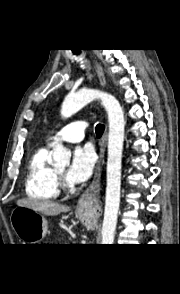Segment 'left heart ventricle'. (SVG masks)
Returning a JSON list of instances; mask_svg holds the SVG:
<instances>
[{
    "mask_svg": "<svg viewBox=\"0 0 180 294\" xmlns=\"http://www.w3.org/2000/svg\"><path fill=\"white\" fill-rule=\"evenodd\" d=\"M66 170H67V167L64 166V167L58 168L57 172L64 176L66 174Z\"/></svg>",
    "mask_w": 180,
    "mask_h": 294,
    "instance_id": "b2bd125f",
    "label": "left heart ventricle"
}]
</instances>
